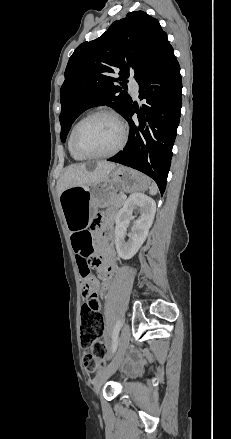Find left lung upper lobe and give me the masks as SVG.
I'll use <instances>...</instances> for the list:
<instances>
[{
    "instance_id": "5c2ea615",
    "label": "left lung upper lobe",
    "mask_w": 231,
    "mask_h": 439,
    "mask_svg": "<svg viewBox=\"0 0 231 439\" xmlns=\"http://www.w3.org/2000/svg\"><path fill=\"white\" fill-rule=\"evenodd\" d=\"M157 19L130 12L99 38L80 44L70 57L60 90L61 140L85 110L107 105L122 116L132 102L124 88L130 74L138 81L170 47ZM120 77H116V74Z\"/></svg>"
}]
</instances>
